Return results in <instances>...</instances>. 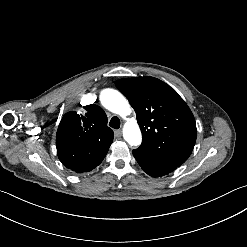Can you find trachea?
Returning <instances> with one entry per match:
<instances>
[{
	"label": "trachea",
	"mask_w": 247,
	"mask_h": 247,
	"mask_svg": "<svg viewBox=\"0 0 247 247\" xmlns=\"http://www.w3.org/2000/svg\"><path fill=\"white\" fill-rule=\"evenodd\" d=\"M109 125L112 127V128H115V129H118L120 127V120L118 117L114 116L111 118L110 122H109Z\"/></svg>",
	"instance_id": "1"
}]
</instances>
